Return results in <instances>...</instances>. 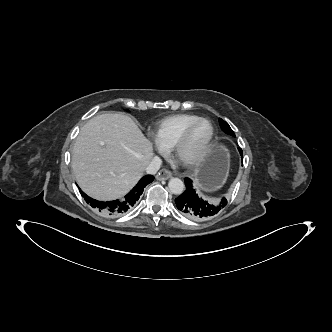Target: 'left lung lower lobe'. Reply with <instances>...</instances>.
<instances>
[{
    "label": "left lung lower lobe",
    "instance_id": "0a47b994",
    "mask_svg": "<svg viewBox=\"0 0 332 332\" xmlns=\"http://www.w3.org/2000/svg\"><path fill=\"white\" fill-rule=\"evenodd\" d=\"M242 155V150L238 149ZM186 191L175 199L177 208L188 218L196 221H206L213 218L226 206L227 200L223 198L219 204L202 198L192 187V181L185 178Z\"/></svg>",
    "mask_w": 332,
    "mask_h": 332
}]
</instances>
